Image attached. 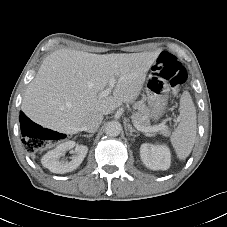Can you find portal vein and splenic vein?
I'll use <instances>...</instances> for the list:
<instances>
[{
    "label": "portal vein and splenic vein",
    "mask_w": 227,
    "mask_h": 227,
    "mask_svg": "<svg viewBox=\"0 0 227 227\" xmlns=\"http://www.w3.org/2000/svg\"><path fill=\"white\" fill-rule=\"evenodd\" d=\"M116 84V79L114 77H111L109 79V83L108 86L100 93L101 97H107L109 94H111L113 88L115 87ZM133 125L135 126V128L141 132H158L160 130H162L164 127H166L164 124H160V125H155V126H151V127H143L141 126L136 120L133 119Z\"/></svg>",
    "instance_id": "portal-vein-and-splenic-vein-1"
}]
</instances>
